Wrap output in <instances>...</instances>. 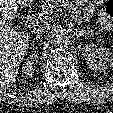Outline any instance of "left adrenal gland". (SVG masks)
I'll use <instances>...</instances> for the list:
<instances>
[{"label": "left adrenal gland", "mask_w": 113, "mask_h": 113, "mask_svg": "<svg viewBox=\"0 0 113 113\" xmlns=\"http://www.w3.org/2000/svg\"><path fill=\"white\" fill-rule=\"evenodd\" d=\"M75 34L77 37H80V36H84L85 32L84 30H82V31H77Z\"/></svg>", "instance_id": "left-adrenal-gland-1"}]
</instances>
